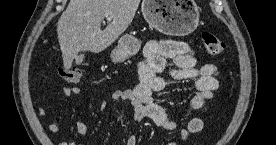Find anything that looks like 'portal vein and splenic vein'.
<instances>
[{
	"mask_svg": "<svg viewBox=\"0 0 276 145\" xmlns=\"http://www.w3.org/2000/svg\"><path fill=\"white\" fill-rule=\"evenodd\" d=\"M107 20H108V21L112 20V17H107Z\"/></svg>",
	"mask_w": 276,
	"mask_h": 145,
	"instance_id": "18ae733b",
	"label": "portal vein and splenic vein"
}]
</instances>
